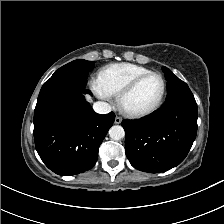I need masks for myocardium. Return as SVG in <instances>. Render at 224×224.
Wrapping results in <instances>:
<instances>
[{
	"instance_id": "obj_1",
	"label": "myocardium",
	"mask_w": 224,
	"mask_h": 224,
	"mask_svg": "<svg viewBox=\"0 0 224 224\" xmlns=\"http://www.w3.org/2000/svg\"><path fill=\"white\" fill-rule=\"evenodd\" d=\"M152 76H156L161 80V84H162V88H161V92L160 95L158 97V99L156 100V102L149 108L144 109V110H139V111H131L125 108L124 106V99L145 79L152 77ZM166 89H167V84H166V80L164 78V76L158 72H149V73H145L142 74L140 76H137L136 78H134L133 80H131L126 86H124L120 92L117 94V103L119 108L129 117H133V118H140V117H145L148 116L150 114H152L153 112H155L160 105L163 102V99L165 97L166 94Z\"/></svg>"
}]
</instances>
